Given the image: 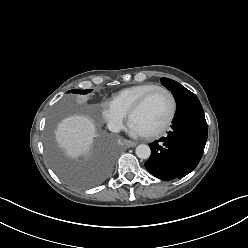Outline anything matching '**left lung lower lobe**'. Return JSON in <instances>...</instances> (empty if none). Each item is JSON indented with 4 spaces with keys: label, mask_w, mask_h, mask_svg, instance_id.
Listing matches in <instances>:
<instances>
[{
    "label": "left lung lower lobe",
    "mask_w": 248,
    "mask_h": 248,
    "mask_svg": "<svg viewBox=\"0 0 248 248\" xmlns=\"http://www.w3.org/2000/svg\"><path fill=\"white\" fill-rule=\"evenodd\" d=\"M207 141V123L200 101L190 92L177 102L172 130L149 144L146 169L162 180L182 178L199 163Z\"/></svg>",
    "instance_id": "left-lung-lower-lobe-1"
}]
</instances>
